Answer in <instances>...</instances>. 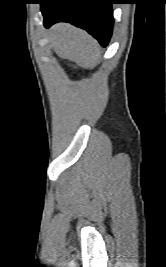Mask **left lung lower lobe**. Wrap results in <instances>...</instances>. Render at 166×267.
Segmentation results:
<instances>
[{"label": "left lung lower lobe", "mask_w": 166, "mask_h": 267, "mask_svg": "<svg viewBox=\"0 0 166 267\" xmlns=\"http://www.w3.org/2000/svg\"><path fill=\"white\" fill-rule=\"evenodd\" d=\"M44 26L59 21L70 22L87 30L103 47L108 44L113 27L111 4L114 0H40Z\"/></svg>", "instance_id": "obj_1"}]
</instances>
